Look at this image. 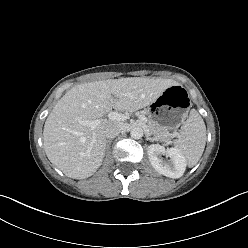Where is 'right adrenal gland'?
<instances>
[{
    "label": "right adrenal gland",
    "instance_id": "obj_1",
    "mask_svg": "<svg viewBox=\"0 0 248 248\" xmlns=\"http://www.w3.org/2000/svg\"><path fill=\"white\" fill-rule=\"evenodd\" d=\"M112 140H107V145H106V148L108 149L110 147V144H111Z\"/></svg>",
    "mask_w": 248,
    "mask_h": 248
}]
</instances>
